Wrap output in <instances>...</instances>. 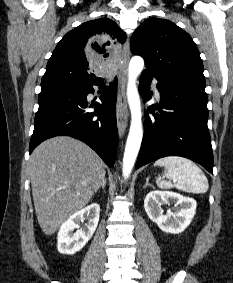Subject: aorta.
<instances>
[{"label":"aorta","mask_w":233,"mask_h":283,"mask_svg":"<svg viewBox=\"0 0 233 283\" xmlns=\"http://www.w3.org/2000/svg\"><path fill=\"white\" fill-rule=\"evenodd\" d=\"M144 67V60L134 56L128 67L127 99L131 111V124L123 157L122 174L126 179L130 176L137 155L140 150L143 128L140 97L136 87V80Z\"/></svg>","instance_id":"obj_1"}]
</instances>
